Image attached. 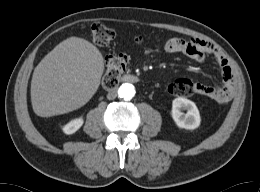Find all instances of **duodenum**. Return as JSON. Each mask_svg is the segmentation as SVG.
Here are the masks:
<instances>
[{
	"mask_svg": "<svg viewBox=\"0 0 260 192\" xmlns=\"http://www.w3.org/2000/svg\"><path fill=\"white\" fill-rule=\"evenodd\" d=\"M120 81L127 82V83H137L139 81V77L134 74L124 73L120 77Z\"/></svg>",
	"mask_w": 260,
	"mask_h": 192,
	"instance_id": "duodenum-1",
	"label": "duodenum"
}]
</instances>
